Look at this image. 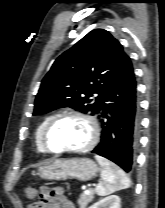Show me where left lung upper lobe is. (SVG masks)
Masks as SVG:
<instances>
[{"mask_svg": "<svg viewBox=\"0 0 165 208\" xmlns=\"http://www.w3.org/2000/svg\"><path fill=\"white\" fill-rule=\"evenodd\" d=\"M127 58L108 31L92 30L56 59L42 80L33 115L61 107L97 114L104 91Z\"/></svg>", "mask_w": 165, "mask_h": 208, "instance_id": "1", "label": "left lung upper lobe"}]
</instances>
